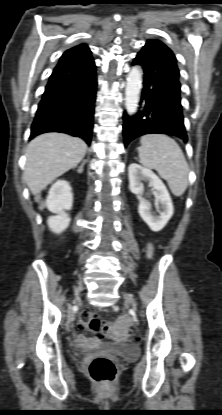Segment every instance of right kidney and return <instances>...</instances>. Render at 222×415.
Here are the masks:
<instances>
[{
	"label": "right kidney",
	"mask_w": 222,
	"mask_h": 415,
	"mask_svg": "<svg viewBox=\"0 0 222 415\" xmlns=\"http://www.w3.org/2000/svg\"><path fill=\"white\" fill-rule=\"evenodd\" d=\"M72 203L73 194L69 183L64 180L56 181L51 186L46 199V207L50 212L56 214L47 220L52 232L61 233L68 227L71 219L65 211L72 208Z\"/></svg>",
	"instance_id": "ca27d5eb"
}]
</instances>
